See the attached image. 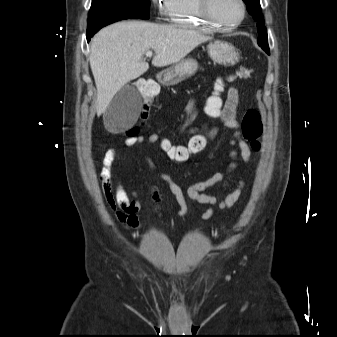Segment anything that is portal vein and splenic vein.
I'll return each mask as SVG.
<instances>
[{
	"label": "portal vein and splenic vein",
	"mask_w": 337,
	"mask_h": 337,
	"mask_svg": "<svg viewBox=\"0 0 337 337\" xmlns=\"http://www.w3.org/2000/svg\"><path fill=\"white\" fill-rule=\"evenodd\" d=\"M145 55H146V57H152L153 53H152V51H147L145 53Z\"/></svg>",
	"instance_id": "obj_1"
}]
</instances>
